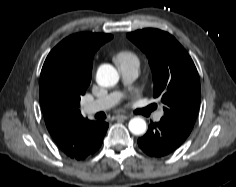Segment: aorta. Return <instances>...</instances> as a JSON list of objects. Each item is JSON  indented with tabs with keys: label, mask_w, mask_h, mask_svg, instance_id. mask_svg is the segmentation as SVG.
<instances>
[{
	"label": "aorta",
	"mask_w": 236,
	"mask_h": 187,
	"mask_svg": "<svg viewBox=\"0 0 236 187\" xmlns=\"http://www.w3.org/2000/svg\"><path fill=\"white\" fill-rule=\"evenodd\" d=\"M96 81L100 86L111 87L118 83L119 74L112 65L103 64L97 70ZM128 127L134 135H142L146 132V122L140 117L132 118L129 121Z\"/></svg>",
	"instance_id": "aorta-1"
}]
</instances>
